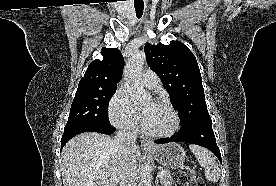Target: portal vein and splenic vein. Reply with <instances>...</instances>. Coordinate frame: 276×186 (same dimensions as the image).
I'll return each instance as SVG.
<instances>
[{
    "label": "portal vein and splenic vein",
    "mask_w": 276,
    "mask_h": 186,
    "mask_svg": "<svg viewBox=\"0 0 276 186\" xmlns=\"http://www.w3.org/2000/svg\"><path fill=\"white\" fill-rule=\"evenodd\" d=\"M164 175H165V173L163 171H161V172H159L158 177L161 179L164 177Z\"/></svg>",
    "instance_id": "obj_1"
}]
</instances>
